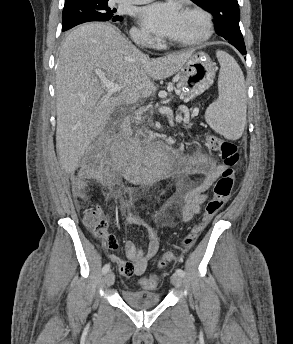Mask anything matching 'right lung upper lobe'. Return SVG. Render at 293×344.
Masks as SVG:
<instances>
[{
	"label": "right lung upper lobe",
	"instance_id": "right-lung-upper-lobe-1",
	"mask_svg": "<svg viewBox=\"0 0 293 344\" xmlns=\"http://www.w3.org/2000/svg\"><path fill=\"white\" fill-rule=\"evenodd\" d=\"M73 1H77V0H65V3H69V2H73Z\"/></svg>",
	"mask_w": 293,
	"mask_h": 344
}]
</instances>
